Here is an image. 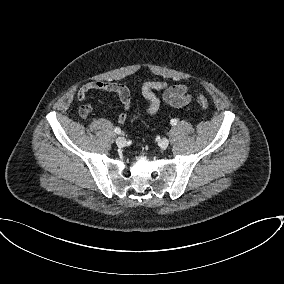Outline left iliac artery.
Wrapping results in <instances>:
<instances>
[{"label": "left iliac artery", "mask_w": 284, "mask_h": 284, "mask_svg": "<svg viewBox=\"0 0 284 284\" xmlns=\"http://www.w3.org/2000/svg\"><path fill=\"white\" fill-rule=\"evenodd\" d=\"M170 123H171V125H176L177 124V119H171Z\"/></svg>", "instance_id": "left-iliac-artery-1"}]
</instances>
